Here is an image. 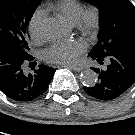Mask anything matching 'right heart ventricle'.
<instances>
[{"label":"right heart ventricle","mask_w":135,"mask_h":135,"mask_svg":"<svg viewBox=\"0 0 135 135\" xmlns=\"http://www.w3.org/2000/svg\"><path fill=\"white\" fill-rule=\"evenodd\" d=\"M50 8L64 20L74 24L78 20L84 7L79 0H60L50 4Z\"/></svg>","instance_id":"e07e8e85"}]
</instances>
